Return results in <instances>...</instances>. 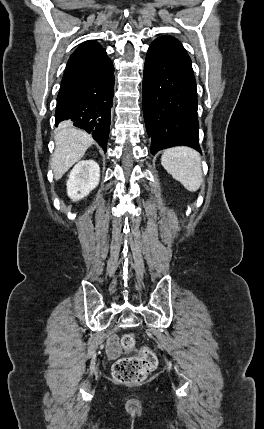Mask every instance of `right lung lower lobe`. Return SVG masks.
Listing matches in <instances>:
<instances>
[{"label": "right lung lower lobe", "mask_w": 264, "mask_h": 429, "mask_svg": "<svg viewBox=\"0 0 264 429\" xmlns=\"http://www.w3.org/2000/svg\"><path fill=\"white\" fill-rule=\"evenodd\" d=\"M113 94L114 67L103 49L66 68L57 97L55 126L72 121L106 151Z\"/></svg>", "instance_id": "1"}]
</instances>
